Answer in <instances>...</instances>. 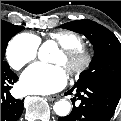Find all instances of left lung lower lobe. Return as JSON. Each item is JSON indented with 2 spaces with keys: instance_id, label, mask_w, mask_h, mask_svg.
I'll return each instance as SVG.
<instances>
[{
  "instance_id": "0a47b994",
  "label": "left lung lower lobe",
  "mask_w": 121,
  "mask_h": 121,
  "mask_svg": "<svg viewBox=\"0 0 121 121\" xmlns=\"http://www.w3.org/2000/svg\"><path fill=\"white\" fill-rule=\"evenodd\" d=\"M74 89L81 104L73 106L70 115L60 117L59 121H109L121 97L120 93L100 83L75 84L66 95Z\"/></svg>"
}]
</instances>
